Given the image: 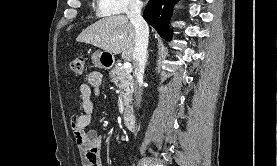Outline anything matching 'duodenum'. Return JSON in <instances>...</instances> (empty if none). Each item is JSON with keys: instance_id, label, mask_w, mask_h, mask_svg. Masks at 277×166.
Returning a JSON list of instances; mask_svg holds the SVG:
<instances>
[{"instance_id": "obj_1", "label": "duodenum", "mask_w": 277, "mask_h": 166, "mask_svg": "<svg viewBox=\"0 0 277 166\" xmlns=\"http://www.w3.org/2000/svg\"><path fill=\"white\" fill-rule=\"evenodd\" d=\"M135 115L133 112H127L124 116L123 123L126 129L133 130L135 128Z\"/></svg>"}]
</instances>
